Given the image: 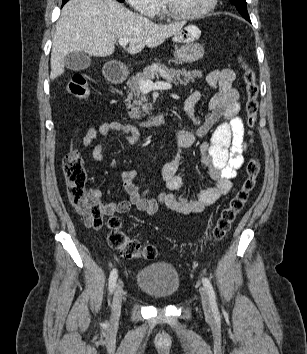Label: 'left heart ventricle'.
I'll return each mask as SVG.
<instances>
[{"label": "left heart ventricle", "mask_w": 307, "mask_h": 354, "mask_svg": "<svg viewBox=\"0 0 307 354\" xmlns=\"http://www.w3.org/2000/svg\"><path fill=\"white\" fill-rule=\"evenodd\" d=\"M168 2L178 13L189 14L203 10L209 0H168Z\"/></svg>", "instance_id": "obj_1"}]
</instances>
